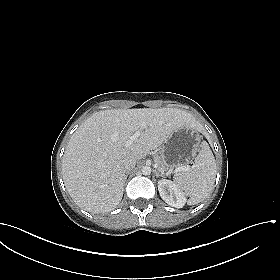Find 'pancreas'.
Wrapping results in <instances>:
<instances>
[{
	"label": "pancreas",
	"mask_w": 280,
	"mask_h": 280,
	"mask_svg": "<svg viewBox=\"0 0 280 280\" xmlns=\"http://www.w3.org/2000/svg\"><path fill=\"white\" fill-rule=\"evenodd\" d=\"M154 162L156 163L157 168H158L160 171L164 172V171L170 170L169 168H167V166H166L165 163L162 161L160 155H159L157 152L154 154Z\"/></svg>",
	"instance_id": "cf45deb5"
}]
</instances>
